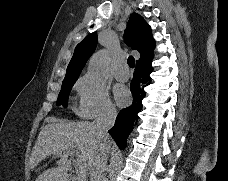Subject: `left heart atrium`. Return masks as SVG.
<instances>
[{
    "label": "left heart atrium",
    "mask_w": 228,
    "mask_h": 181,
    "mask_svg": "<svg viewBox=\"0 0 228 181\" xmlns=\"http://www.w3.org/2000/svg\"><path fill=\"white\" fill-rule=\"evenodd\" d=\"M115 95L119 102L123 101V98L128 96V92L120 86L115 87Z\"/></svg>",
    "instance_id": "39dd6f15"
}]
</instances>
